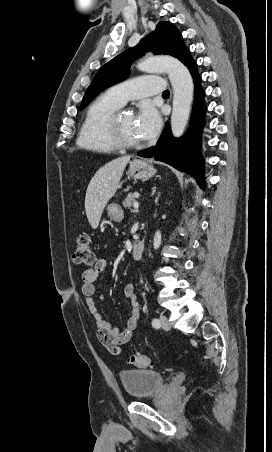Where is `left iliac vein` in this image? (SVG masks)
Returning a JSON list of instances; mask_svg holds the SVG:
<instances>
[{
  "instance_id": "1",
  "label": "left iliac vein",
  "mask_w": 272,
  "mask_h": 452,
  "mask_svg": "<svg viewBox=\"0 0 272 452\" xmlns=\"http://www.w3.org/2000/svg\"><path fill=\"white\" fill-rule=\"evenodd\" d=\"M160 326L164 330H170V328H171L169 320L165 315L160 316Z\"/></svg>"
}]
</instances>
